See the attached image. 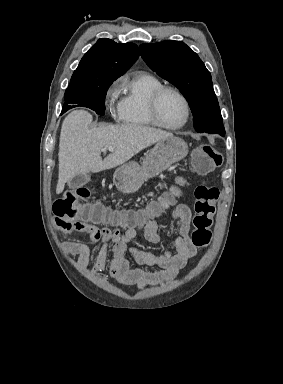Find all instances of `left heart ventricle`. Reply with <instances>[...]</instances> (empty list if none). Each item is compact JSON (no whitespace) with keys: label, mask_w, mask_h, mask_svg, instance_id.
<instances>
[{"label":"left heart ventricle","mask_w":283,"mask_h":384,"mask_svg":"<svg viewBox=\"0 0 283 384\" xmlns=\"http://www.w3.org/2000/svg\"><path fill=\"white\" fill-rule=\"evenodd\" d=\"M158 117L166 126L180 125L185 119V107L182 100L171 92L165 93L158 105Z\"/></svg>","instance_id":"left-heart-ventricle-1"}]
</instances>
